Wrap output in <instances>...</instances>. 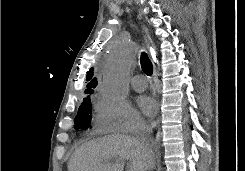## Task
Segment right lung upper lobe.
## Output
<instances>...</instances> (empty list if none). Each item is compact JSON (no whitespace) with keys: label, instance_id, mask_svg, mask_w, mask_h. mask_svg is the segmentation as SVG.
Segmentation results:
<instances>
[{"label":"right lung upper lobe","instance_id":"right-lung-upper-lobe-1","mask_svg":"<svg viewBox=\"0 0 245 171\" xmlns=\"http://www.w3.org/2000/svg\"><path fill=\"white\" fill-rule=\"evenodd\" d=\"M86 80L89 81L87 84V89L85 90L86 94H92L93 88L97 86V79L93 78V69L91 68L90 71L87 73Z\"/></svg>","mask_w":245,"mask_h":171}]
</instances>
